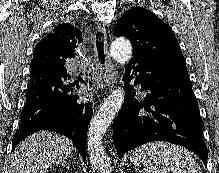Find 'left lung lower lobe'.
<instances>
[{
  "mask_svg": "<svg viewBox=\"0 0 219 173\" xmlns=\"http://www.w3.org/2000/svg\"><path fill=\"white\" fill-rule=\"evenodd\" d=\"M124 104L113 122V142L118 156L150 141H168L197 154L207 166V147L202 137L199 115L187 71H177L164 63L133 56L125 68ZM148 90L143 102L134 99V88Z\"/></svg>",
  "mask_w": 219,
  "mask_h": 173,
  "instance_id": "obj_1",
  "label": "left lung lower lobe"
}]
</instances>
